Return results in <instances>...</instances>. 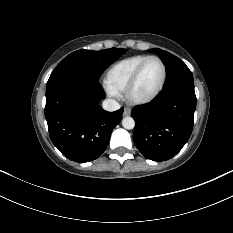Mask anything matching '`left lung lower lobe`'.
Wrapping results in <instances>:
<instances>
[{"label":"left lung lower lobe","mask_w":233,"mask_h":233,"mask_svg":"<svg viewBox=\"0 0 233 233\" xmlns=\"http://www.w3.org/2000/svg\"><path fill=\"white\" fill-rule=\"evenodd\" d=\"M195 109L194 83L164 87L153 101L135 107L133 140L138 150L154 161L175 156L192 133Z\"/></svg>","instance_id":"obj_1"}]
</instances>
